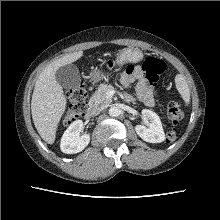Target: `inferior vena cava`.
Returning <instances> with one entry per match:
<instances>
[{
  "instance_id": "obj_1",
  "label": "inferior vena cava",
  "mask_w": 220,
  "mask_h": 220,
  "mask_svg": "<svg viewBox=\"0 0 220 220\" xmlns=\"http://www.w3.org/2000/svg\"><path fill=\"white\" fill-rule=\"evenodd\" d=\"M101 111H102L101 108H91V109L89 110V112H90L91 115H98Z\"/></svg>"
}]
</instances>
